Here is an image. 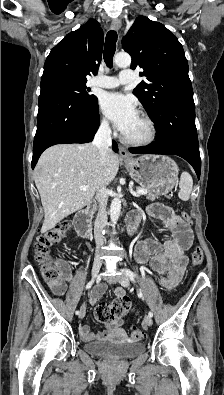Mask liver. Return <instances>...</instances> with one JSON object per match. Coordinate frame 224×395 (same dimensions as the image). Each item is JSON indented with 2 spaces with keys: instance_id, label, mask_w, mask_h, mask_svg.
I'll return each instance as SVG.
<instances>
[{
  "instance_id": "6515ba94",
  "label": "liver",
  "mask_w": 224,
  "mask_h": 395,
  "mask_svg": "<svg viewBox=\"0 0 224 395\" xmlns=\"http://www.w3.org/2000/svg\"><path fill=\"white\" fill-rule=\"evenodd\" d=\"M119 157L111 150L104 167L92 143L55 145L43 152L34 178L44 208L41 233L89 204L97 189L117 175ZM87 186V190H80Z\"/></svg>"
}]
</instances>
